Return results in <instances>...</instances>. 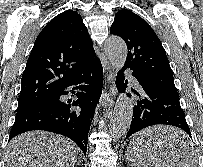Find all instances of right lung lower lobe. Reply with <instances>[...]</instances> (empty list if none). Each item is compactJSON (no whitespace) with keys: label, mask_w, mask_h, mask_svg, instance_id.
Instances as JSON below:
<instances>
[{"label":"right lung lower lobe","mask_w":203,"mask_h":167,"mask_svg":"<svg viewBox=\"0 0 203 167\" xmlns=\"http://www.w3.org/2000/svg\"><path fill=\"white\" fill-rule=\"evenodd\" d=\"M103 68L96 60L84 71L73 75L50 99L18 111L9 140L31 130H45L69 137L86 153L88 132L95 113L96 104L102 93ZM72 87L77 100L67 103L60 100L67 95L66 88ZM79 106V111L71 107Z\"/></svg>","instance_id":"1"}]
</instances>
